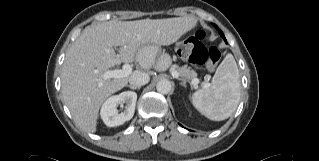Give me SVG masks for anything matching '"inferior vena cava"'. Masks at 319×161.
I'll return each instance as SVG.
<instances>
[{"instance_id": "obj_1", "label": "inferior vena cava", "mask_w": 319, "mask_h": 161, "mask_svg": "<svg viewBox=\"0 0 319 161\" xmlns=\"http://www.w3.org/2000/svg\"><path fill=\"white\" fill-rule=\"evenodd\" d=\"M149 80H150L149 75L141 71H135L129 77V83L135 87H141L147 84Z\"/></svg>"}]
</instances>
